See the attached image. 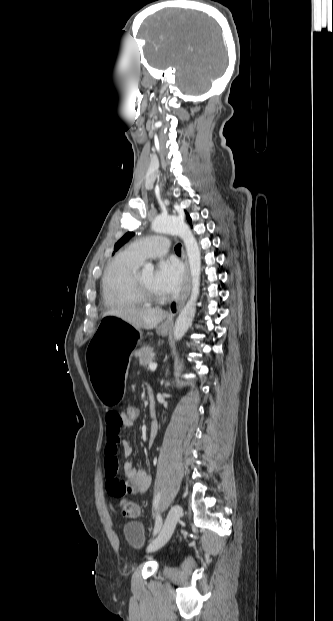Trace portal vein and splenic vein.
<instances>
[{"mask_svg":"<svg viewBox=\"0 0 333 621\" xmlns=\"http://www.w3.org/2000/svg\"><path fill=\"white\" fill-rule=\"evenodd\" d=\"M156 368H157V363H155V362L149 363V365H148V369L149 370L154 371Z\"/></svg>","mask_w":333,"mask_h":621,"instance_id":"portal-vein-and-splenic-vein-1","label":"portal vein and splenic vein"}]
</instances>
